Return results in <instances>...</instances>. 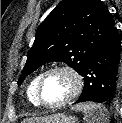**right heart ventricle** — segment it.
Returning a JSON list of instances; mask_svg holds the SVG:
<instances>
[{
	"mask_svg": "<svg viewBox=\"0 0 122 123\" xmlns=\"http://www.w3.org/2000/svg\"><path fill=\"white\" fill-rule=\"evenodd\" d=\"M42 73H38L36 74L29 82L28 84V87H27V98L28 100L34 105V106H41L40 102L38 101V98H37V93H36V90H37V84H38V81L41 77Z\"/></svg>",
	"mask_w": 122,
	"mask_h": 123,
	"instance_id": "e07e8e85",
	"label": "right heart ventricle"
}]
</instances>
